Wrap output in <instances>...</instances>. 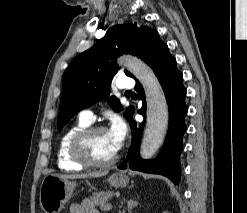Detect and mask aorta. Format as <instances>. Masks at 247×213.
Segmentation results:
<instances>
[{
  "label": "aorta",
  "mask_w": 247,
  "mask_h": 213,
  "mask_svg": "<svg viewBox=\"0 0 247 213\" xmlns=\"http://www.w3.org/2000/svg\"><path fill=\"white\" fill-rule=\"evenodd\" d=\"M118 61L127 67L145 90L147 122L140 155L143 159H150L160 148L166 136L169 120L166 98L157 77L143 61L133 56H124Z\"/></svg>",
  "instance_id": "aorta-1"
}]
</instances>
